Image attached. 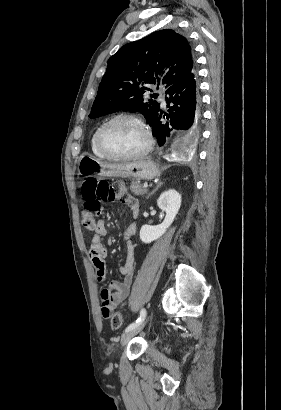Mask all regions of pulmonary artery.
<instances>
[{
  "label": "pulmonary artery",
  "instance_id": "pulmonary-artery-1",
  "mask_svg": "<svg viewBox=\"0 0 281 410\" xmlns=\"http://www.w3.org/2000/svg\"><path fill=\"white\" fill-rule=\"evenodd\" d=\"M162 102H163V104H165V101H164V100H162Z\"/></svg>",
  "mask_w": 281,
  "mask_h": 410
}]
</instances>
